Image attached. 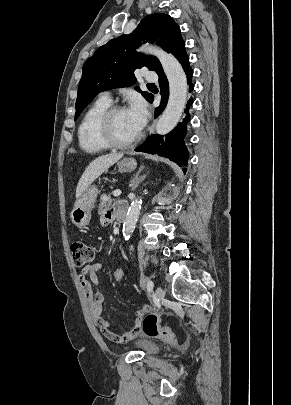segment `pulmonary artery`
I'll return each mask as SVG.
<instances>
[{
    "instance_id": "1",
    "label": "pulmonary artery",
    "mask_w": 291,
    "mask_h": 405,
    "mask_svg": "<svg viewBox=\"0 0 291 405\" xmlns=\"http://www.w3.org/2000/svg\"><path fill=\"white\" fill-rule=\"evenodd\" d=\"M144 78L146 81L149 82H154L158 80V76L154 71H146L144 74ZM100 99L106 101V102H111V96L109 92H104L101 94Z\"/></svg>"
}]
</instances>
